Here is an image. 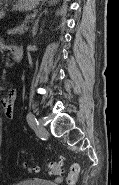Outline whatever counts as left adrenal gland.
<instances>
[{"label": "left adrenal gland", "instance_id": "obj_1", "mask_svg": "<svg viewBox=\"0 0 119 185\" xmlns=\"http://www.w3.org/2000/svg\"><path fill=\"white\" fill-rule=\"evenodd\" d=\"M42 14H43V13H41V14L39 15V17L37 18V20L35 21V24H34L33 29H32V34H33V36H35V35L37 34L38 23H39V19H40V17L42 16Z\"/></svg>", "mask_w": 119, "mask_h": 185}]
</instances>
